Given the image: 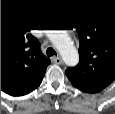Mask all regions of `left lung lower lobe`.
I'll return each mask as SVG.
<instances>
[{"label":"left lung lower lobe","instance_id":"obj_1","mask_svg":"<svg viewBox=\"0 0 115 114\" xmlns=\"http://www.w3.org/2000/svg\"><path fill=\"white\" fill-rule=\"evenodd\" d=\"M75 87H77L78 89L84 91V92H88V93H96L101 91L102 87H98V86H94V85H79V84H75L72 83Z\"/></svg>","mask_w":115,"mask_h":114}]
</instances>
